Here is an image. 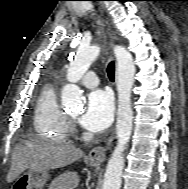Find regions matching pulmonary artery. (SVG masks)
Masks as SVG:
<instances>
[{"label": "pulmonary artery", "instance_id": "1", "mask_svg": "<svg viewBox=\"0 0 188 189\" xmlns=\"http://www.w3.org/2000/svg\"><path fill=\"white\" fill-rule=\"evenodd\" d=\"M80 83L85 87L92 88L98 85L99 79L94 72H88L80 79Z\"/></svg>", "mask_w": 188, "mask_h": 189}]
</instances>
